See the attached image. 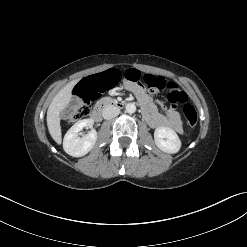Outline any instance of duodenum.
Segmentation results:
<instances>
[{"label": "duodenum", "mask_w": 247, "mask_h": 247, "mask_svg": "<svg viewBox=\"0 0 247 247\" xmlns=\"http://www.w3.org/2000/svg\"><path fill=\"white\" fill-rule=\"evenodd\" d=\"M125 105H126V102H124V101H115V100L114 101H104V102L100 103L97 107H95V109L91 113V118L94 121L99 122L102 119L103 111L106 108L114 107V108L121 109Z\"/></svg>", "instance_id": "obj_1"}]
</instances>
